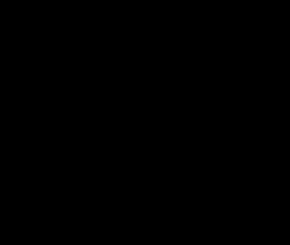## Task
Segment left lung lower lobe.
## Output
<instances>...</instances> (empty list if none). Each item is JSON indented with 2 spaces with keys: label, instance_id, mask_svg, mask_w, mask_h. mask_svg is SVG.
<instances>
[{
  "label": "left lung lower lobe",
  "instance_id": "left-lung-lower-lobe-1",
  "mask_svg": "<svg viewBox=\"0 0 290 245\" xmlns=\"http://www.w3.org/2000/svg\"><path fill=\"white\" fill-rule=\"evenodd\" d=\"M247 132H248V118L246 121L244 134H243L242 138L240 139L239 143L237 144V146L235 147V149L227 157H225L224 159H222L221 161H219L218 163H216L215 165L210 167V169L205 171V172H197V171L187 170V169L180 168L176 165H173L163 156V154L159 148V144L156 141L157 157H158V160L163 168H165L167 171H169L177 176L187 178V179L206 180V179H209V178L217 175L218 173L223 171L229 164H231V162L236 158V156L240 152V149L242 148V146L247 138Z\"/></svg>",
  "mask_w": 290,
  "mask_h": 245
}]
</instances>
